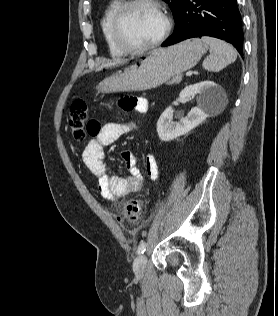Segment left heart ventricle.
<instances>
[{
  "mask_svg": "<svg viewBox=\"0 0 278 316\" xmlns=\"http://www.w3.org/2000/svg\"><path fill=\"white\" fill-rule=\"evenodd\" d=\"M163 20L158 11L148 4L133 7L125 16L122 32L132 46L140 47L154 41L162 32Z\"/></svg>",
  "mask_w": 278,
  "mask_h": 316,
  "instance_id": "1",
  "label": "left heart ventricle"
}]
</instances>
